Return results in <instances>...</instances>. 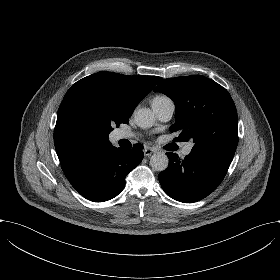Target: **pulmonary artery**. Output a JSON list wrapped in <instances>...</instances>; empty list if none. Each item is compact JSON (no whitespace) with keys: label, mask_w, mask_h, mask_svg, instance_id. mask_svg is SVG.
<instances>
[{"label":"pulmonary artery","mask_w":280,"mask_h":280,"mask_svg":"<svg viewBox=\"0 0 280 280\" xmlns=\"http://www.w3.org/2000/svg\"><path fill=\"white\" fill-rule=\"evenodd\" d=\"M151 106L157 118L164 122L169 121L175 112V104L168 97H160L154 99L151 103ZM131 137H133L132 133L120 131V139L131 138ZM191 150H192V145L188 143L183 147L181 151V155L183 157H186L191 153Z\"/></svg>","instance_id":"pulmonary-artery-1"}]
</instances>
